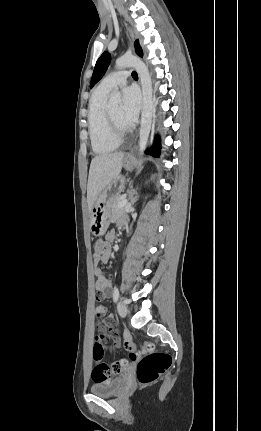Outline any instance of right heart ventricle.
<instances>
[{"label":"right heart ventricle","instance_id":"right-heart-ventricle-1","mask_svg":"<svg viewBox=\"0 0 261 431\" xmlns=\"http://www.w3.org/2000/svg\"><path fill=\"white\" fill-rule=\"evenodd\" d=\"M107 91L97 88L92 96L88 112V128L92 150L98 155L115 151L120 142L115 140L108 128L103 106Z\"/></svg>","mask_w":261,"mask_h":431}]
</instances>
